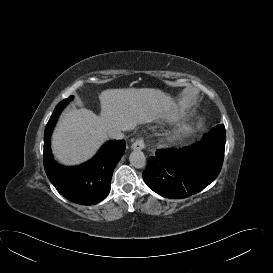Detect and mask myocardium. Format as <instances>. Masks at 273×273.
I'll return each instance as SVG.
<instances>
[{"label": "myocardium", "instance_id": "obj_1", "mask_svg": "<svg viewBox=\"0 0 273 273\" xmlns=\"http://www.w3.org/2000/svg\"><path fill=\"white\" fill-rule=\"evenodd\" d=\"M190 130H191V128L189 126H185L175 133L166 135L163 138L162 142L165 146H170V145L174 144L179 137H182L183 135L189 133Z\"/></svg>", "mask_w": 273, "mask_h": 273}]
</instances>
